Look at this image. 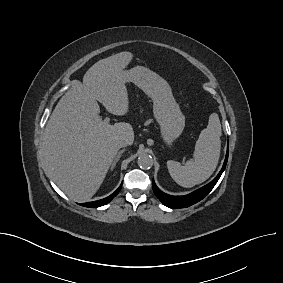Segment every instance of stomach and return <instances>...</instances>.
I'll use <instances>...</instances> for the list:
<instances>
[{
  "instance_id": "stomach-1",
  "label": "stomach",
  "mask_w": 283,
  "mask_h": 283,
  "mask_svg": "<svg viewBox=\"0 0 283 283\" xmlns=\"http://www.w3.org/2000/svg\"><path fill=\"white\" fill-rule=\"evenodd\" d=\"M126 82H133L153 101V114L167 146L181 135L185 117L176 103L168 82L150 69L137 66L125 71Z\"/></svg>"
}]
</instances>
